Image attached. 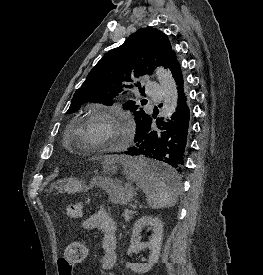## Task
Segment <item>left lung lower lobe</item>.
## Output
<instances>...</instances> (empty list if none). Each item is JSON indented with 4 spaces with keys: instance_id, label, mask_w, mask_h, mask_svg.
<instances>
[{
    "instance_id": "obj_1",
    "label": "left lung lower lobe",
    "mask_w": 263,
    "mask_h": 275,
    "mask_svg": "<svg viewBox=\"0 0 263 275\" xmlns=\"http://www.w3.org/2000/svg\"><path fill=\"white\" fill-rule=\"evenodd\" d=\"M168 68L178 85V106L171 117L172 120L164 123L158 118L156 123L161 131H154L151 129L152 118L150 117L137 129L135 144L124 153L160 162L152 164L150 172L160 180L174 183L184 166L190 111L183 91L181 69L175 55Z\"/></svg>"
}]
</instances>
